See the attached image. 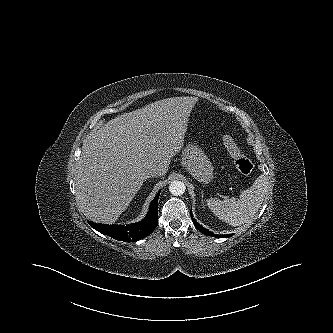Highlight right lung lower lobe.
Listing matches in <instances>:
<instances>
[{"instance_id": "98d812e1", "label": "right lung lower lobe", "mask_w": 333, "mask_h": 333, "mask_svg": "<svg viewBox=\"0 0 333 333\" xmlns=\"http://www.w3.org/2000/svg\"><path fill=\"white\" fill-rule=\"evenodd\" d=\"M158 191L155 198L152 200L147 216L140 222L131 225H103L94 222H88L89 225L102 234L108 235L114 239L133 242L138 241L150 235L158 223Z\"/></svg>"}]
</instances>
